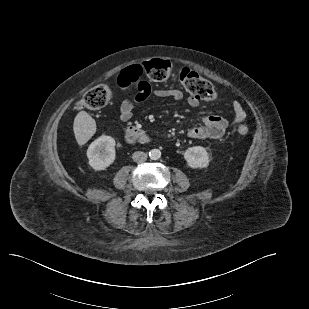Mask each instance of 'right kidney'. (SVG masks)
Here are the masks:
<instances>
[{
    "instance_id": "1",
    "label": "right kidney",
    "mask_w": 309,
    "mask_h": 309,
    "mask_svg": "<svg viewBox=\"0 0 309 309\" xmlns=\"http://www.w3.org/2000/svg\"><path fill=\"white\" fill-rule=\"evenodd\" d=\"M115 139L102 135L93 141L87 150L89 165L96 171L105 170L115 160Z\"/></svg>"
}]
</instances>
